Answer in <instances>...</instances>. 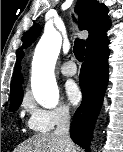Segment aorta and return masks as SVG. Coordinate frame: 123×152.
Here are the masks:
<instances>
[{
    "label": "aorta",
    "mask_w": 123,
    "mask_h": 152,
    "mask_svg": "<svg viewBox=\"0 0 123 152\" xmlns=\"http://www.w3.org/2000/svg\"><path fill=\"white\" fill-rule=\"evenodd\" d=\"M61 48V36L46 30L39 40L32 60V92L39 105L53 109L58 105L59 90L54 68Z\"/></svg>",
    "instance_id": "obj_1"
}]
</instances>
